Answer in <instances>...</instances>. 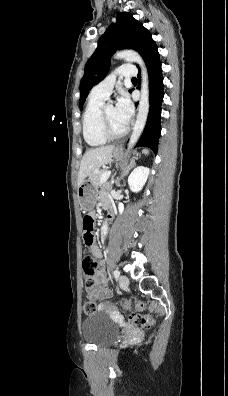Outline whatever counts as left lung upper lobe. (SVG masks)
<instances>
[{
	"label": "left lung upper lobe",
	"mask_w": 228,
	"mask_h": 396,
	"mask_svg": "<svg viewBox=\"0 0 228 396\" xmlns=\"http://www.w3.org/2000/svg\"><path fill=\"white\" fill-rule=\"evenodd\" d=\"M153 41L151 33L131 13H119L117 22L107 28L99 39L94 54L86 63L80 86V110L89 90L106 76L110 57L116 50L133 49L144 58Z\"/></svg>",
	"instance_id": "5c2ea615"
}]
</instances>
